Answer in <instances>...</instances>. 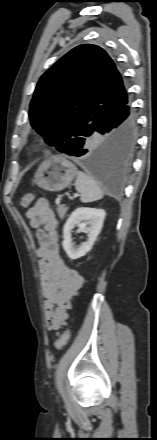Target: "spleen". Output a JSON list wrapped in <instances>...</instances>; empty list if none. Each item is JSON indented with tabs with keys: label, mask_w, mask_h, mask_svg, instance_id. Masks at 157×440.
<instances>
[{
	"label": "spleen",
	"mask_w": 157,
	"mask_h": 440,
	"mask_svg": "<svg viewBox=\"0 0 157 440\" xmlns=\"http://www.w3.org/2000/svg\"><path fill=\"white\" fill-rule=\"evenodd\" d=\"M74 185L76 190L80 192V201L83 203L94 202L103 197V191L98 183L83 172H77Z\"/></svg>",
	"instance_id": "3e777b00"
}]
</instances>
